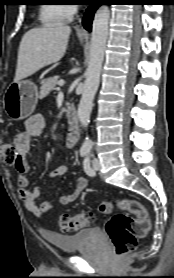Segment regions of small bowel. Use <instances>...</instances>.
<instances>
[{"mask_svg":"<svg viewBox=\"0 0 174 278\" xmlns=\"http://www.w3.org/2000/svg\"><path fill=\"white\" fill-rule=\"evenodd\" d=\"M25 130L15 136L14 147L16 150V159L13 163L17 172L18 193L25 207L37 217L43 216L44 213L56 208V204L50 200L43 201L40 206L37 200L42 195L40 187L27 190L29 185L28 171L29 165L27 157L32 153L36 139L42 134L45 121L41 114H34L25 121ZM67 171L65 165H60L50 173V178H58L63 176ZM89 178L81 176L77 179L75 189L72 192L65 193L60 197V203L68 205L74 202L80 194L87 188Z\"/></svg>","mask_w":174,"mask_h":278,"instance_id":"c3829d8e","label":"small bowel"}]
</instances>
